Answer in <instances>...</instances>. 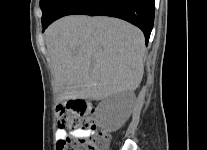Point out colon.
Instances as JSON below:
<instances>
[{
	"label": "colon",
	"mask_w": 207,
	"mask_h": 150,
	"mask_svg": "<svg viewBox=\"0 0 207 150\" xmlns=\"http://www.w3.org/2000/svg\"><path fill=\"white\" fill-rule=\"evenodd\" d=\"M57 125L62 129L73 131L95 128V120L85 106V100H72L68 108L58 107L56 110ZM108 136L99 133L84 137H66L58 140L57 150H106Z\"/></svg>",
	"instance_id": "obj_1"
}]
</instances>
